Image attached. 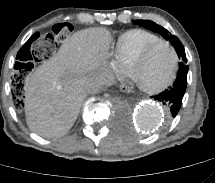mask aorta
<instances>
[{"instance_id": "1", "label": "aorta", "mask_w": 215, "mask_h": 183, "mask_svg": "<svg viewBox=\"0 0 215 183\" xmlns=\"http://www.w3.org/2000/svg\"><path fill=\"white\" fill-rule=\"evenodd\" d=\"M134 120L138 127L153 130L160 126L164 114L162 108L150 102H143L134 108Z\"/></svg>"}]
</instances>
